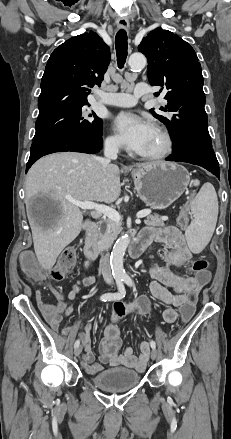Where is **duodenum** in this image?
<instances>
[{
    "label": "duodenum",
    "instance_id": "obj_1",
    "mask_svg": "<svg viewBox=\"0 0 231 439\" xmlns=\"http://www.w3.org/2000/svg\"><path fill=\"white\" fill-rule=\"evenodd\" d=\"M97 228L98 226L96 222H90L84 234V255L91 262H94L100 254L96 242ZM146 247L147 243L142 238L138 237L131 243L129 254L132 258H137L144 252Z\"/></svg>",
    "mask_w": 231,
    "mask_h": 439
}]
</instances>
